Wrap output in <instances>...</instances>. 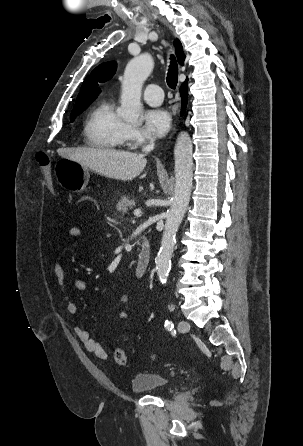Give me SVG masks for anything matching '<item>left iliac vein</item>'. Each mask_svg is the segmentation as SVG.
Returning <instances> with one entry per match:
<instances>
[{
  "label": "left iliac vein",
  "mask_w": 303,
  "mask_h": 446,
  "mask_svg": "<svg viewBox=\"0 0 303 446\" xmlns=\"http://www.w3.org/2000/svg\"><path fill=\"white\" fill-rule=\"evenodd\" d=\"M190 330V324L187 321L181 320L178 323V331L181 333H186Z\"/></svg>",
  "instance_id": "1"
}]
</instances>
